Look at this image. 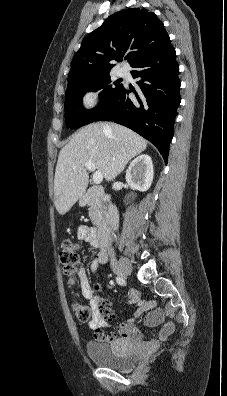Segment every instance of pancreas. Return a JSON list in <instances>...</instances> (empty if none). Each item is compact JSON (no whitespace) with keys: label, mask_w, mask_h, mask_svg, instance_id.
Returning <instances> with one entry per match:
<instances>
[{"label":"pancreas","mask_w":227,"mask_h":396,"mask_svg":"<svg viewBox=\"0 0 227 396\" xmlns=\"http://www.w3.org/2000/svg\"><path fill=\"white\" fill-rule=\"evenodd\" d=\"M89 217L93 225L99 226L103 220V208L98 200H91L89 202Z\"/></svg>","instance_id":"cf45deb5"}]
</instances>
